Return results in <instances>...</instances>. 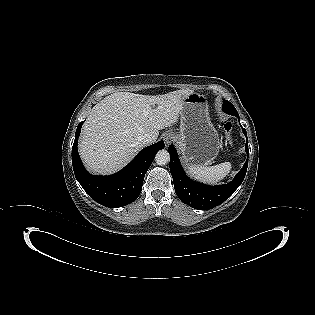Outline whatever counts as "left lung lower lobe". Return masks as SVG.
Returning a JSON list of instances; mask_svg holds the SVG:
<instances>
[{
  "mask_svg": "<svg viewBox=\"0 0 315 315\" xmlns=\"http://www.w3.org/2000/svg\"><path fill=\"white\" fill-rule=\"evenodd\" d=\"M239 119V115L236 116ZM242 127V126H241ZM244 135L247 137L246 130L242 127ZM170 154V172L174 181V188L179 199L190 207L207 210L223 203L229 198L240 186L245 178L248 166V159L243 168L237 173L233 181L228 184L218 186H208L189 179L177 156L176 149L173 145L169 148ZM246 153L248 151V139L245 145Z\"/></svg>",
  "mask_w": 315,
  "mask_h": 315,
  "instance_id": "left-lung-lower-lobe-1",
  "label": "left lung lower lobe"
}]
</instances>
